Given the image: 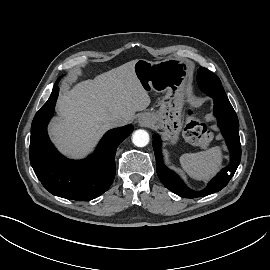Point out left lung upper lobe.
<instances>
[{
  "label": "left lung upper lobe",
  "instance_id": "obj_1",
  "mask_svg": "<svg viewBox=\"0 0 270 270\" xmlns=\"http://www.w3.org/2000/svg\"><path fill=\"white\" fill-rule=\"evenodd\" d=\"M197 80L200 88L213 99L228 100L220 79L208 69L200 67Z\"/></svg>",
  "mask_w": 270,
  "mask_h": 270
}]
</instances>
